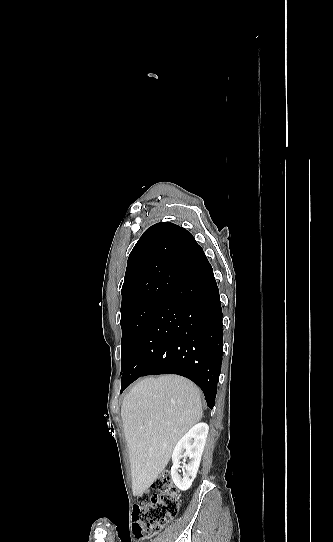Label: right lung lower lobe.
I'll use <instances>...</instances> for the list:
<instances>
[{
	"label": "right lung lower lobe",
	"instance_id": "98d812e1",
	"mask_svg": "<svg viewBox=\"0 0 333 542\" xmlns=\"http://www.w3.org/2000/svg\"><path fill=\"white\" fill-rule=\"evenodd\" d=\"M162 261L186 276L151 314L122 372L121 392L141 376L178 374L196 383L213 408L223 354L222 310L203 250L161 251Z\"/></svg>",
	"mask_w": 333,
	"mask_h": 542
}]
</instances>
